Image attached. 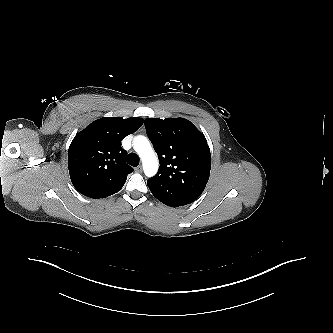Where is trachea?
<instances>
[{
  "label": "trachea",
  "mask_w": 333,
  "mask_h": 333,
  "mask_svg": "<svg viewBox=\"0 0 333 333\" xmlns=\"http://www.w3.org/2000/svg\"><path fill=\"white\" fill-rule=\"evenodd\" d=\"M127 163L133 167H137L139 165V157L135 153H130L127 156Z\"/></svg>",
  "instance_id": "obj_1"
}]
</instances>
